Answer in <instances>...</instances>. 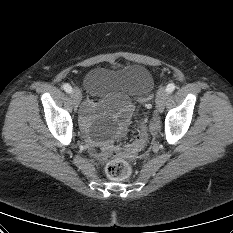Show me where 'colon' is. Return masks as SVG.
I'll return each instance as SVG.
<instances>
[{
  "mask_svg": "<svg viewBox=\"0 0 233 233\" xmlns=\"http://www.w3.org/2000/svg\"><path fill=\"white\" fill-rule=\"evenodd\" d=\"M151 100L152 97L147 96L141 99V103L148 107L151 103ZM147 140L148 136L146 129L142 126L137 138L124 148V152L129 155H137L141 153L147 143ZM131 172V165L127 161L120 158L110 161L106 166L107 176L112 180H124L130 176Z\"/></svg>",
  "mask_w": 233,
  "mask_h": 233,
  "instance_id": "obj_1",
  "label": "colon"
}]
</instances>
